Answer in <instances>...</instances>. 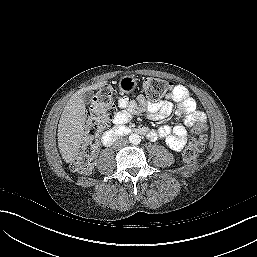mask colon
<instances>
[{"instance_id":"obj_1","label":"colon","mask_w":257,"mask_h":257,"mask_svg":"<svg viewBox=\"0 0 257 257\" xmlns=\"http://www.w3.org/2000/svg\"><path fill=\"white\" fill-rule=\"evenodd\" d=\"M170 87L171 82L159 78H148L143 85L146 97L152 102L160 100ZM114 99V91L110 87L101 88L92 98L84 141L72 164L76 172L84 174L91 170L99 136L115 112ZM195 130L199 134L198 137L183 151V159L187 163L196 161L205 148L206 126L203 123L198 124Z\"/></svg>"}]
</instances>
